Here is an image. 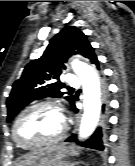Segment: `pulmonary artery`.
I'll return each instance as SVG.
<instances>
[{
  "label": "pulmonary artery",
  "mask_w": 135,
  "mask_h": 166,
  "mask_svg": "<svg viewBox=\"0 0 135 166\" xmlns=\"http://www.w3.org/2000/svg\"><path fill=\"white\" fill-rule=\"evenodd\" d=\"M67 82L70 86H78L80 83L79 79L73 74L67 75Z\"/></svg>",
  "instance_id": "obj_1"
}]
</instances>
